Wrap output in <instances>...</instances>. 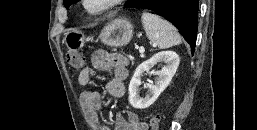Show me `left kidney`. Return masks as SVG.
Returning a JSON list of instances; mask_svg holds the SVG:
<instances>
[{
	"mask_svg": "<svg viewBox=\"0 0 257 130\" xmlns=\"http://www.w3.org/2000/svg\"><path fill=\"white\" fill-rule=\"evenodd\" d=\"M163 62L166 64L161 70L156 72L158 79L155 85L148 84L149 93L144 97H139V86L141 85V76L144 72H148L155 64ZM180 58L176 52L163 51L155 54L151 59L140 64L129 84V102L136 109H145L152 105L158 96L170 84L178 66Z\"/></svg>",
	"mask_w": 257,
	"mask_h": 130,
	"instance_id": "obj_1",
	"label": "left kidney"
}]
</instances>
